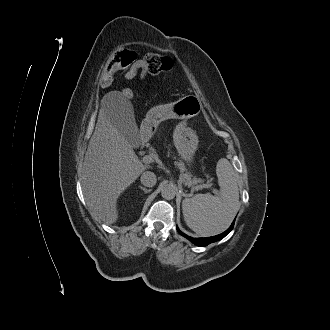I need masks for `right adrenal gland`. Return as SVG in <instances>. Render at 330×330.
Masks as SVG:
<instances>
[{"label": "right adrenal gland", "mask_w": 330, "mask_h": 330, "mask_svg": "<svg viewBox=\"0 0 330 330\" xmlns=\"http://www.w3.org/2000/svg\"><path fill=\"white\" fill-rule=\"evenodd\" d=\"M139 188H140L141 190H143L145 193L150 192V190H148L147 188H145V187H143V186H141V185H139Z\"/></svg>", "instance_id": "2a0ac1e0"}]
</instances>
